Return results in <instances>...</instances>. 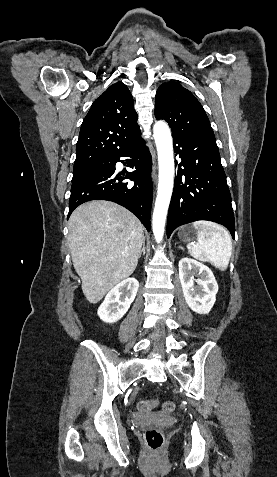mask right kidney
<instances>
[{
  "instance_id": "right-kidney-1",
  "label": "right kidney",
  "mask_w": 277,
  "mask_h": 477,
  "mask_svg": "<svg viewBox=\"0 0 277 477\" xmlns=\"http://www.w3.org/2000/svg\"><path fill=\"white\" fill-rule=\"evenodd\" d=\"M138 288L135 278H127L112 288L97 311L100 319L106 323L120 320L134 301Z\"/></svg>"
}]
</instances>
